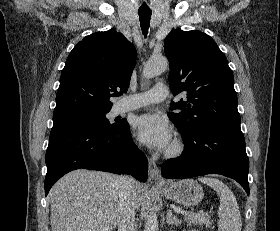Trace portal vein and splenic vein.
Returning <instances> with one entry per match:
<instances>
[{
  "label": "portal vein and splenic vein",
  "instance_id": "18ae733b",
  "mask_svg": "<svg viewBox=\"0 0 280 231\" xmlns=\"http://www.w3.org/2000/svg\"><path fill=\"white\" fill-rule=\"evenodd\" d=\"M174 211H181L180 207H174Z\"/></svg>",
  "mask_w": 280,
  "mask_h": 231
}]
</instances>
